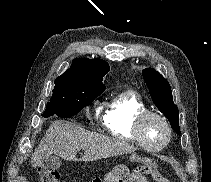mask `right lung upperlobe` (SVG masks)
<instances>
[{
	"instance_id": "obj_1",
	"label": "right lung upper lobe",
	"mask_w": 211,
	"mask_h": 182,
	"mask_svg": "<svg viewBox=\"0 0 211 182\" xmlns=\"http://www.w3.org/2000/svg\"><path fill=\"white\" fill-rule=\"evenodd\" d=\"M108 71L109 64L102 59L75 58L71 67L59 77L105 90L102 80Z\"/></svg>"
}]
</instances>
